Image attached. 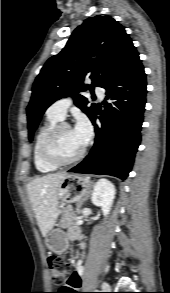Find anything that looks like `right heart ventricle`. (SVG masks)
Masks as SVG:
<instances>
[{
  "mask_svg": "<svg viewBox=\"0 0 170 293\" xmlns=\"http://www.w3.org/2000/svg\"><path fill=\"white\" fill-rule=\"evenodd\" d=\"M60 121V119L47 114L46 120L40 126L33 147L34 164L38 171L42 173H50L55 171L58 166L46 162L41 155V145L46 133Z\"/></svg>",
  "mask_w": 170,
  "mask_h": 293,
  "instance_id": "obj_1",
  "label": "right heart ventricle"
}]
</instances>
